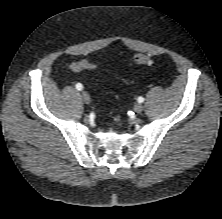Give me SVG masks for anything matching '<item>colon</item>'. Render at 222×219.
Segmentation results:
<instances>
[{"mask_svg": "<svg viewBox=\"0 0 222 219\" xmlns=\"http://www.w3.org/2000/svg\"><path fill=\"white\" fill-rule=\"evenodd\" d=\"M134 62L138 65H146L151 63V58L145 54H137L134 57Z\"/></svg>", "mask_w": 222, "mask_h": 219, "instance_id": "1", "label": "colon"}]
</instances>
